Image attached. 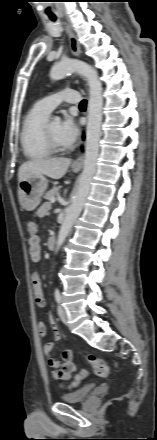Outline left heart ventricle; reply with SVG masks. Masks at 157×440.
Masks as SVG:
<instances>
[{
    "mask_svg": "<svg viewBox=\"0 0 157 440\" xmlns=\"http://www.w3.org/2000/svg\"><path fill=\"white\" fill-rule=\"evenodd\" d=\"M48 129H49V132H50L52 138H53L58 144L66 145V144L63 142V140H62V138H61V136H60V124H58V123H49V125H48Z\"/></svg>",
    "mask_w": 157,
    "mask_h": 440,
    "instance_id": "obj_1",
    "label": "left heart ventricle"
}]
</instances>
